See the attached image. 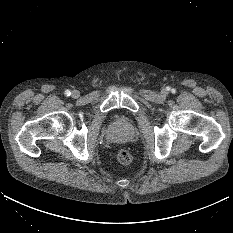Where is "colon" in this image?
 <instances>
[{"label": "colon", "instance_id": "5ec220e1", "mask_svg": "<svg viewBox=\"0 0 233 233\" xmlns=\"http://www.w3.org/2000/svg\"><path fill=\"white\" fill-rule=\"evenodd\" d=\"M117 160L119 163L123 164V165H127L130 164L132 161V155L131 153L126 150V149H121L118 153H117Z\"/></svg>", "mask_w": 233, "mask_h": 233}]
</instances>
